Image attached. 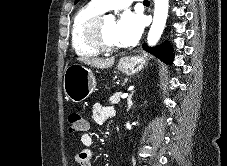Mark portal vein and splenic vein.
Masks as SVG:
<instances>
[{
	"label": "portal vein and splenic vein",
	"instance_id": "obj_1",
	"mask_svg": "<svg viewBox=\"0 0 227 166\" xmlns=\"http://www.w3.org/2000/svg\"><path fill=\"white\" fill-rule=\"evenodd\" d=\"M127 96H128V93H125L121 96V98L124 99V98H127Z\"/></svg>",
	"mask_w": 227,
	"mask_h": 166
}]
</instances>
